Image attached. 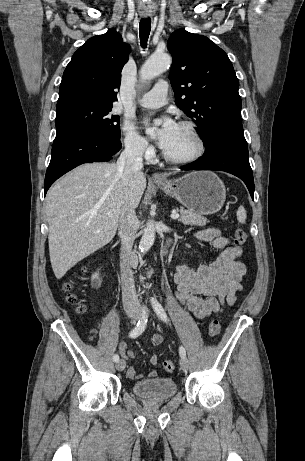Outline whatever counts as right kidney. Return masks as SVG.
I'll use <instances>...</instances> for the list:
<instances>
[{
	"instance_id": "1",
	"label": "right kidney",
	"mask_w": 305,
	"mask_h": 461,
	"mask_svg": "<svg viewBox=\"0 0 305 461\" xmlns=\"http://www.w3.org/2000/svg\"><path fill=\"white\" fill-rule=\"evenodd\" d=\"M91 285H92V287H94V288H98V287L101 286V280H100V278H99V274H98V273H95V274L92 276Z\"/></svg>"
}]
</instances>
